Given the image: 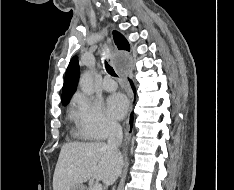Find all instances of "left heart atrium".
<instances>
[{"label": "left heart atrium", "instance_id": "39dd6f15", "mask_svg": "<svg viewBox=\"0 0 234 190\" xmlns=\"http://www.w3.org/2000/svg\"><path fill=\"white\" fill-rule=\"evenodd\" d=\"M128 108V101L123 94L115 93L107 100V110L111 117L120 119Z\"/></svg>", "mask_w": 234, "mask_h": 190}]
</instances>
